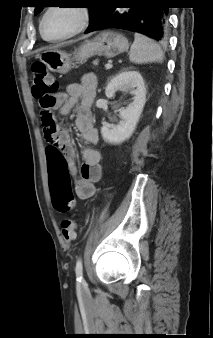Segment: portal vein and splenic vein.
Returning a JSON list of instances; mask_svg holds the SVG:
<instances>
[{
  "label": "portal vein and splenic vein",
  "mask_w": 213,
  "mask_h": 338,
  "mask_svg": "<svg viewBox=\"0 0 213 338\" xmlns=\"http://www.w3.org/2000/svg\"><path fill=\"white\" fill-rule=\"evenodd\" d=\"M105 68H106V69H111V68H112V64H111V63L105 64Z\"/></svg>",
  "instance_id": "portal-vein-and-splenic-vein-1"
}]
</instances>
